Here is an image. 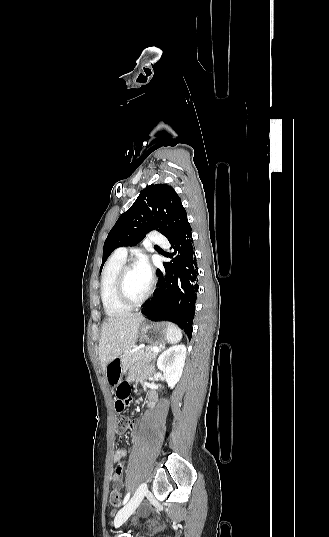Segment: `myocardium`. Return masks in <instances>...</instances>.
<instances>
[{
  "instance_id": "obj_1",
  "label": "myocardium",
  "mask_w": 329,
  "mask_h": 537,
  "mask_svg": "<svg viewBox=\"0 0 329 537\" xmlns=\"http://www.w3.org/2000/svg\"><path fill=\"white\" fill-rule=\"evenodd\" d=\"M135 267H136V264H133V263L124 264L117 274V280H116L117 296H118L119 301L128 308L138 307L141 304H143L149 298L153 289L152 283H149L146 293L140 299L134 301L128 298L126 291H125V278H126L127 273Z\"/></svg>"
}]
</instances>
